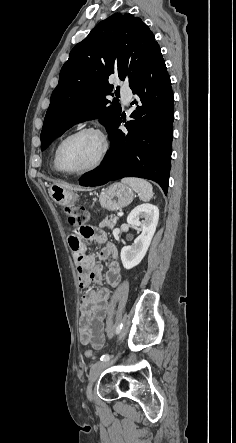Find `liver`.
Instances as JSON below:
<instances>
[{
    "label": "liver",
    "mask_w": 236,
    "mask_h": 443,
    "mask_svg": "<svg viewBox=\"0 0 236 443\" xmlns=\"http://www.w3.org/2000/svg\"><path fill=\"white\" fill-rule=\"evenodd\" d=\"M57 185L70 189V186L66 184H57Z\"/></svg>",
    "instance_id": "1"
}]
</instances>
